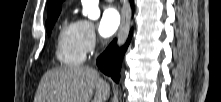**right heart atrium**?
Returning a JSON list of instances; mask_svg holds the SVG:
<instances>
[{"label":"right heart atrium","instance_id":"right-heart-atrium-1","mask_svg":"<svg viewBox=\"0 0 221 102\" xmlns=\"http://www.w3.org/2000/svg\"><path fill=\"white\" fill-rule=\"evenodd\" d=\"M81 47L85 54L93 52L98 44L96 28L93 22L81 19L76 22Z\"/></svg>","mask_w":221,"mask_h":102}]
</instances>
